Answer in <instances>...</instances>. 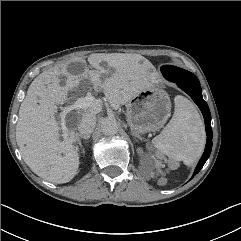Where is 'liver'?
<instances>
[{
    "instance_id": "obj_1",
    "label": "liver",
    "mask_w": 241,
    "mask_h": 241,
    "mask_svg": "<svg viewBox=\"0 0 241 241\" xmlns=\"http://www.w3.org/2000/svg\"><path fill=\"white\" fill-rule=\"evenodd\" d=\"M82 72L70 75L67 64L59 69L42 72L34 79L19 109L16 125V141L24 162L37 175L57 184L71 181L79 168V148L74 143L78 140L74 131L62 129L67 133L60 141L58 132L61 129L55 121L56 104L64 101L69 91H73L84 80L100 87L112 109H119L127 104L142 90L152 86L151 63L136 54H92L89 64L96 70H89L84 60ZM112 69L110 74L105 65ZM68 76L66 84H59V76ZM109 74V75H108ZM101 107L93 106L70 113L65 123L78 124L83 113L97 114ZM48 164V167H47Z\"/></svg>"
}]
</instances>
